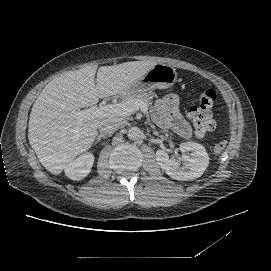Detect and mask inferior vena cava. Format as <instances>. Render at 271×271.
Here are the masks:
<instances>
[{
  "mask_svg": "<svg viewBox=\"0 0 271 271\" xmlns=\"http://www.w3.org/2000/svg\"><path fill=\"white\" fill-rule=\"evenodd\" d=\"M124 125L125 123L121 119L104 120L99 124L98 129L100 133L110 134L123 127Z\"/></svg>",
  "mask_w": 271,
  "mask_h": 271,
  "instance_id": "1",
  "label": "inferior vena cava"
}]
</instances>
